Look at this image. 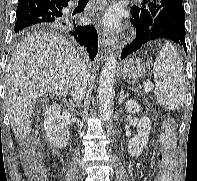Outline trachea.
<instances>
[{"mask_svg":"<svg viewBox=\"0 0 197 181\" xmlns=\"http://www.w3.org/2000/svg\"><path fill=\"white\" fill-rule=\"evenodd\" d=\"M79 1H88V0H79Z\"/></svg>","mask_w":197,"mask_h":181,"instance_id":"trachea-1","label":"trachea"}]
</instances>
